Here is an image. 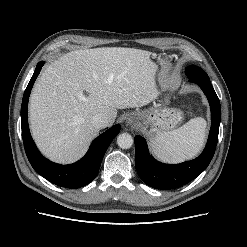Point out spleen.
Masks as SVG:
<instances>
[{
  "label": "spleen",
  "mask_w": 247,
  "mask_h": 247,
  "mask_svg": "<svg viewBox=\"0 0 247 247\" xmlns=\"http://www.w3.org/2000/svg\"><path fill=\"white\" fill-rule=\"evenodd\" d=\"M206 121L202 117L190 119L178 129L163 132L153 129L150 139L154 154L167 163H179L196 156L205 140Z\"/></svg>",
  "instance_id": "1"
}]
</instances>
